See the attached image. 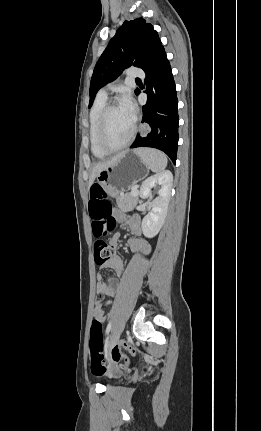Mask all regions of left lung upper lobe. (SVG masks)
<instances>
[{
  "instance_id": "left-lung-upper-lobe-1",
  "label": "left lung upper lobe",
  "mask_w": 261,
  "mask_h": 431,
  "mask_svg": "<svg viewBox=\"0 0 261 431\" xmlns=\"http://www.w3.org/2000/svg\"><path fill=\"white\" fill-rule=\"evenodd\" d=\"M161 47L158 33L143 18L125 21L96 63L90 83L89 108L102 86L132 65L144 69Z\"/></svg>"
}]
</instances>
